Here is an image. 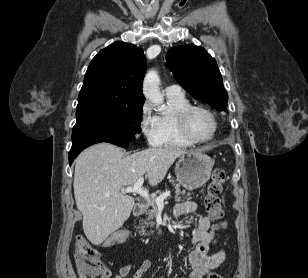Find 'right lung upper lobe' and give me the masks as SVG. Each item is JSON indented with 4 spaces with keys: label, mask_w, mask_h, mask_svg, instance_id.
<instances>
[{
    "label": "right lung upper lobe",
    "mask_w": 308,
    "mask_h": 278,
    "mask_svg": "<svg viewBox=\"0 0 308 278\" xmlns=\"http://www.w3.org/2000/svg\"><path fill=\"white\" fill-rule=\"evenodd\" d=\"M146 59L141 48L115 42L91 61L78 97L76 115L140 107Z\"/></svg>",
    "instance_id": "obj_1"
}]
</instances>
